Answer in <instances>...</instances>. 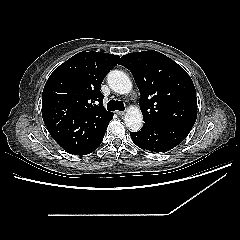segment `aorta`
Masks as SVG:
<instances>
[{
	"label": "aorta",
	"mask_w": 240,
	"mask_h": 240,
	"mask_svg": "<svg viewBox=\"0 0 240 240\" xmlns=\"http://www.w3.org/2000/svg\"><path fill=\"white\" fill-rule=\"evenodd\" d=\"M110 88L118 94H128L132 90V82L128 75L120 70H112L107 76ZM126 127L132 132H137L143 125V115L140 109L131 107L124 115Z\"/></svg>",
	"instance_id": "obj_1"
}]
</instances>
